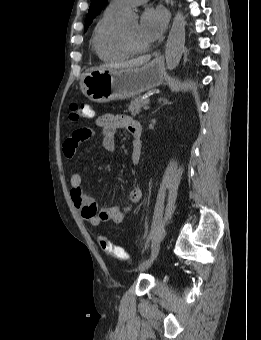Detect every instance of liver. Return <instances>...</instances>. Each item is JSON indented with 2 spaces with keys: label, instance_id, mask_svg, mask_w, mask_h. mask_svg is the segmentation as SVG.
<instances>
[{
  "label": "liver",
  "instance_id": "6515ba94",
  "mask_svg": "<svg viewBox=\"0 0 261 340\" xmlns=\"http://www.w3.org/2000/svg\"><path fill=\"white\" fill-rule=\"evenodd\" d=\"M150 60V56H144L137 59L130 60L121 64H106L97 69H118V68H135L146 64Z\"/></svg>",
  "mask_w": 261,
  "mask_h": 340
}]
</instances>
